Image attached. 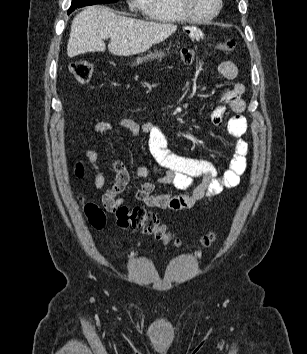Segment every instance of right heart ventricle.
<instances>
[{"label": "right heart ventricle", "instance_id": "obj_1", "mask_svg": "<svg viewBox=\"0 0 307 354\" xmlns=\"http://www.w3.org/2000/svg\"><path fill=\"white\" fill-rule=\"evenodd\" d=\"M142 9L147 18L165 23H182L188 18L181 12L178 0H144Z\"/></svg>", "mask_w": 307, "mask_h": 354}]
</instances>
